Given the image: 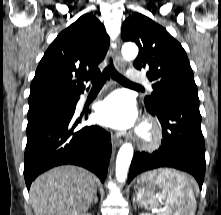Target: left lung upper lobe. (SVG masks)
I'll return each instance as SVG.
<instances>
[{"instance_id":"5c2ea615","label":"left lung upper lobe","mask_w":221,"mask_h":215,"mask_svg":"<svg viewBox=\"0 0 221 215\" xmlns=\"http://www.w3.org/2000/svg\"><path fill=\"white\" fill-rule=\"evenodd\" d=\"M124 41L135 42L139 54L134 61L138 70H146L153 81V93L145 98L147 108L153 109L159 99L178 97L199 105L197 86L194 81L186 52L165 28L150 18L135 13L122 25Z\"/></svg>"}]
</instances>
